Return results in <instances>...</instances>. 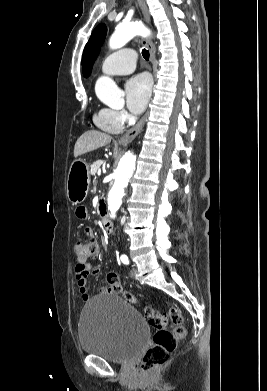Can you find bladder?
Here are the masks:
<instances>
[{
  "instance_id": "obj_1",
  "label": "bladder",
  "mask_w": 267,
  "mask_h": 391,
  "mask_svg": "<svg viewBox=\"0 0 267 391\" xmlns=\"http://www.w3.org/2000/svg\"><path fill=\"white\" fill-rule=\"evenodd\" d=\"M147 337L144 319L119 295L94 298L82 310L79 341L86 354L126 363L140 353Z\"/></svg>"
}]
</instances>
